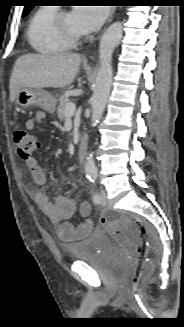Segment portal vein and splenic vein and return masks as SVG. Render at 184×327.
<instances>
[{"label": "portal vein and splenic vein", "instance_id": "1", "mask_svg": "<svg viewBox=\"0 0 184 327\" xmlns=\"http://www.w3.org/2000/svg\"><path fill=\"white\" fill-rule=\"evenodd\" d=\"M76 110V105L74 103H69L66 107H65V115L66 116H73Z\"/></svg>", "mask_w": 184, "mask_h": 327}]
</instances>
